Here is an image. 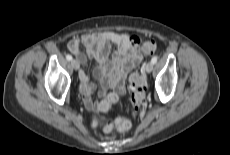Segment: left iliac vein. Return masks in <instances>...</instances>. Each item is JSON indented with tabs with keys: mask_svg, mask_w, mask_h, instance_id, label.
<instances>
[{
	"mask_svg": "<svg viewBox=\"0 0 230 155\" xmlns=\"http://www.w3.org/2000/svg\"><path fill=\"white\" fill-rule=\"evenodd\" d=\"M154 64L152 62H148L145 66V71L150 73L153 70Z\"/></svg>",
	"mask_w": 230,
	"mask_h": 155,
	"instance_id": "1",
	"label": "left iliac vein"
}]
</instances>
